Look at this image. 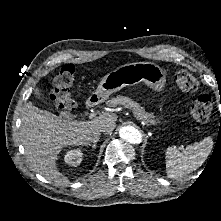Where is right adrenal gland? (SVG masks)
<instances>
[{"mask_svg": "<svg viewBox=\"0 0 221 221\" xmlns=\"http://www.w3.org/2000/svg\"><path fill=\"white\" fill-rule=\"evenodd\" d=\"M99 135L91 139L89 142L86 143V146H92V149L94 150L96 148V144L99 141Z\"/></svg>", "mask_w": 221, "mask_h": 221, "instance_id": "right-adrenal-gland-1", "label": "right adrenal gland"}]
</instances>
